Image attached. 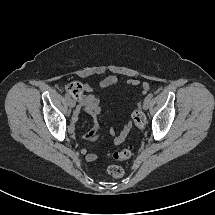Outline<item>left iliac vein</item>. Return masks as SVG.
<instances>
[{
    "mask_svg": "<svg viewBox=\"0 0 215 215\" xmlns=\"http://www.w3.org/2000/svg\"><path fill=\"white\" fill-rule=\"evenodd\" d=\"M144 110H147L150 107V100H147L143 105H142Z\"/></svg>",
    "mask_w": 215,
    "mask_h": 215,
    "instance_id": "left-iliac-vein-1",
    "label": "left iliac vein"
}]
</instances>
